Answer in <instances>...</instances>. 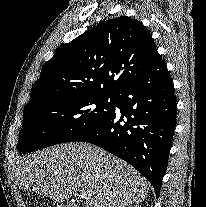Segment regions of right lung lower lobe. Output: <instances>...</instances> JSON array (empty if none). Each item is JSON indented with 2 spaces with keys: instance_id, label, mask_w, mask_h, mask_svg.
<instances>
[{
  "instance_id": "right-lung-lower-lobe-1",
  "label": "right lung lower lobe",
  "mask_w": 206,
  "mask_h": 207,
  "mask_svg": "<svg viewBox=\"0 0 206 207\" xmlns=\"http://www.w3.org/2000/svg\"><path fill=\"white\" fill-rule=\"evenodd\" d=\"M161 56L115 95L114 111L75 141L97 145L134 166L160 195L176 126V97ZM124 122V124L122 123Z\"/></svg>"
}]
</instances>
